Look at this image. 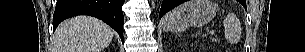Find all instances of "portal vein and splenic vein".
Segmentation results:
<instances>
[{
  "label": "portal vein and splenic vein",
  "mask_w": 305,
  "mask_h": 52,
  "mask_svg": "<svg viewBox=\"0 0 305 52\" xmlns=\"http://www.w3.org/2000/svg\"><path fill=\"white\" fill-rule=\"evenodd\" d=\"M214 33H215V31H214V30H211V31H210V34H211V35H213Z\"/></svg>",
  "instance_id": "obj_1"
}]
</instances>
